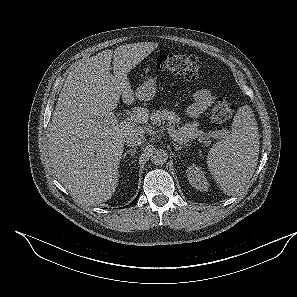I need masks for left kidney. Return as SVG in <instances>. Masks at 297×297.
<instances>
[{"mask_svg": "<svg viewBox=\"0 0 297 297\" xmlns=\"http://www.w3.org/2000/svg\"><path fill=\"white\" fill-rule=\"evenodd\" d=\"M187 178L192 187L199 191H208L209 182L200 167L190 165L186 170Z\"/></svg>", "mask_w": 297, "mask_h": 297, "instance_id": "left-kidney-1", "label": "left kidney"}]
</instances>
